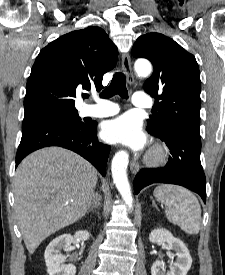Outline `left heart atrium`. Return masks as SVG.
<instances>
[{"mask_svg":"<svg viewBox=\"0 0 225 275\" xmlns=\"http://www.w3.org/2000/svg\"><path fill=\"white\" fill-rule=\"evenodd\" d=\"M102 135L108 142L128 145L134 149L142 148L146 141L138 120L131 115L106 122Z\"/></svg>","mask_w":225,"mask_h":275,"instance_id":"39dd6f15","label":"left heart atrium"}]
</instances>
